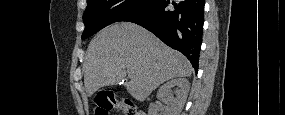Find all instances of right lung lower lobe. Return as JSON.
I'll return each mask as SVG.
<instances>
[{"instance_id": "obj_1", "label": "right lung lower lobe", "mask_w": 285, "mask_h": 115, "mask_svg": "<svg viewBox=\"0 0 285 115\" xmlns=\"http://www.w3.org/2000/svg\"><path fill=\"white\" fill-rule=\"evenodd\" d=\"M204 0H156L123 21L151 31L166 45L184 54L198 71L204 23Z\"/></svg>"}]
</instances>
